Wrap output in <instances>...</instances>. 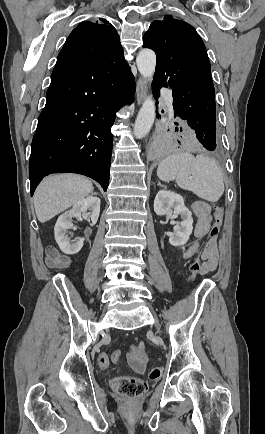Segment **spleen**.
Listing matches in <instances>:
<instances>
[{
	"instance_id": "obj_1",
	"label": "spleen",
	"mask_w": 265,
	"mask_h": 434,
	"mask_svg": "<svg viewBox=\"0 0 265 434\" xmlns=\"http://www.w3.org/2000/svg\"><path fill=\"white\" fill-rule=\"evenodd\" d=\"M157 176L163 182L176 180L179 188L189 190L207 202H218L224 192L223 174L217 162L190 152H177L167 156L157 168ZM192 180H189V178Z\"/></svg>"
}]
</instances>
